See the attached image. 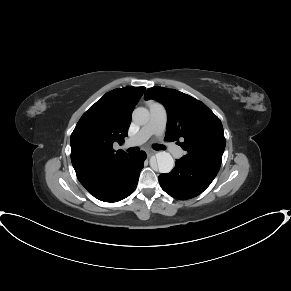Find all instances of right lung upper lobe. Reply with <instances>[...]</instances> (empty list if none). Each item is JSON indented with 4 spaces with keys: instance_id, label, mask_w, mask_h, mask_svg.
<instances>
[{
    "instance_id": "cb5924a9",
    "label": "right lung upper lobe",
    "mask_w": 291,
    "mask_h": 291,
    "mask_svg": "<svg viewBox=\"0 0 291 291\" xmlns=\"http://www.w3.org/2000/svg\"><path fill=\"white\" fill-rule=\"evenodd\" d=\"M145 87H124L106 93L80 118L71 134V161L76 174L110 165L129 154L113 143L128 135L132 111Z\"/></svg>"
}]
</instances>
